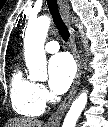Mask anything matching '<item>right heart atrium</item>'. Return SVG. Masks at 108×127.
<instances>
[{"mask_svg":"<svg viewBox=\"0 0 108 127\" xmlns=\"http://www.w3.org/2000/svg\"><path fill=\"white\" fill-rule=\"evenodd\" d=\"M36 91H37V95H38L39 99L42 102H45L46 100L49 99V92L47 91L46 87L43 84L37 83L36 84Z\"/></svg>","mask_w":108,"mask_h":127,"instance_id":"obj_1","label":"right heart atrium"}]
</instances>
